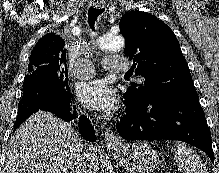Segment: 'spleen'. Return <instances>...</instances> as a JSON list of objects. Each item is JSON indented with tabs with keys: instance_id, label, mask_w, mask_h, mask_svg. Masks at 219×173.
<instances>
[{
	"instance_id": "3e777b00",
	"label": "spleen",
	"mask_w": 219,
	"mask_h": 173,
	"mask_svg": "<svg viewBox=\"0 0 219 173\" xmlns=\"http://www.w3.org/2000/svg\"><path fill=\"white\" fill-rule=\"evenodd\" d=\"M174 153L179 168L185 173H208L200 157L185 143L177 142Z\"/></svg>"
}]
</instances>
